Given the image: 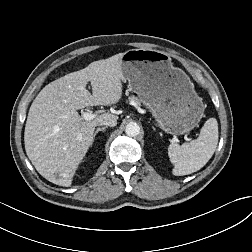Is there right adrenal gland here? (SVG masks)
<instances>
[{
	"instance_id": "right-adrenal-gland-1",
	"label": "right adrenal gland",
	"mask_w": 252,
	"mask_h": 252,
	"mask_svg": "<svg viewBox=\"0 0 252 252\" xmlns=\"http://www.w3.org/2000/svg\"><path fill=\"white\" fill-rule=\"evenodd\" d=\"M107 127H102V128H97L96 131L94 132L93 138L98 134V132H104Z\"/></svg>"
}]
</instances>
